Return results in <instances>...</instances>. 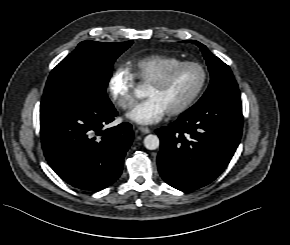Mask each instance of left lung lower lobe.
Listing matches in <instances>:
<instances>
[{
    "label": "left lung lower lobe",
    "mask_w": 290,
    "mask_h": 245,
    "mask_svg": "<svg viewBox=\"0 0 290 245\" xmlns=\"http://www.w3.org/2000/svg\"><path fill=\"white\" fill-rule=\"evenodd\" d=\"M242 127L241 101L195 104L177 121L156 130L161 146L157 159L161 177L184 192L209 184L230 162Z\"/></svg>",
    "instance_id": "1"
}]
</instances>
